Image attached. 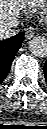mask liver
Wrapping results in <instances>:
<instances>
[{
    "label": "liver",
    "instance_id": "1",
    "mask_svg": "<svg viewBox=\"0 0 47 129\" xmlns=\"http://www.w3.org/2000/svg\"><path fill=\"white\" fill-rule=\"evenodd\" d=\"M43 0H0V27L18 20L25 10L34 9Z\"/></svg>",
    "mask_w": 47,
    "mask_h": 129
}]
</instances>
